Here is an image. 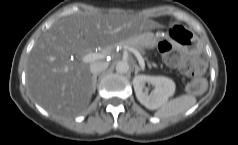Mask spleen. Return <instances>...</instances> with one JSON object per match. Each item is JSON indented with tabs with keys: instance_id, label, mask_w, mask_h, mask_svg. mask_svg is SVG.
Wrapping results in <instances>:
<instances>
[{
	"instance_id": "obj_1",
	"label": "spleen",
	"mask_w": 238,
	"mask_h": 145,
	"mask_svg": "<svg viewBox=\"0 0 238 145\" xmlns=\"http://www.w3.org/2000/svg\"><path fill=\"white\" fill-rule=\"evenodd\" d=\"M196 104V97L185 94L165 102L155 113L161 119L177 116L186 112Z\"/></svg>"
}]
</instances>
